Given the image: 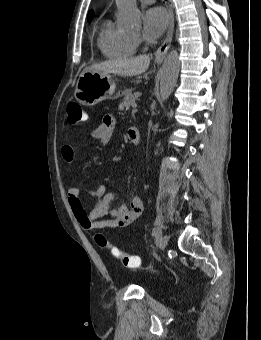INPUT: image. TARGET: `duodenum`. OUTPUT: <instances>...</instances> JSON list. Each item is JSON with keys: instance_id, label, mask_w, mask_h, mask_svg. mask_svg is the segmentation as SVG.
<instances>
[{"instance_id": "obj_1", "label": "duodenum", "mask_w": 261, "mask_h": 340, "mask_svg": "<svg viewBox=\"0 0 261 340\" xmlns=\"http://www.w3.org/2000/svg\"><path fill=\"white\" fill-rule=\"evenodd\" d=\"M129 138L131 142L137 145L140 141L139 130L136 127H131L129 129Z\"/></svg>"}]
</instances>
